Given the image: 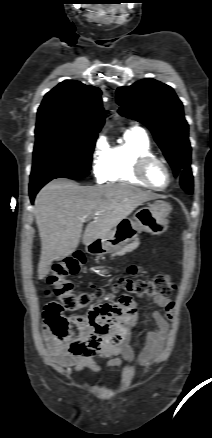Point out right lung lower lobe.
Segmentation results:
<instances>
[{"instance_id": "98d812e1", "label": "right lung lower lobe", "mask_w": 212, "mask_h": 438, "mask_svg": "<svg viewBox=\"0 0 212 438\" xmlns=\"http://www.w3.org/2000/svg\"><path fill=\"white\" fill-rule=\"evenodd\" d=\"M85 176H64V175H44L35 178H30V200L33 203L35 195L37 192L49 181L55 178H71V179H79Z\"/></svg>"}]
</instances>
